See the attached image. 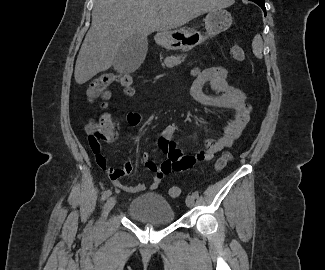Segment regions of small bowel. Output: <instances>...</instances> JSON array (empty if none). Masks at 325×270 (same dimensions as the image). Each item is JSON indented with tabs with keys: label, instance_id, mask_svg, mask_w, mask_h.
Returning <instances> with one entry per match:
<instances>
[{
	"label": "small bowel",
	"instance_id": "c3829d8e",
	"mask_svg": "<svg viewBox=\"0 0 325 270\" xmlns=\"http://www.w3.org/2000/svg\"><path fill=\"white\" fill-rule=\"evenodd\" d=\"M192 75L194 79L190 87V96L195 103L204 107L227 108L233 111L231 121L223 127V135L217 140L207 139L205 148L194 155H184L175 138L179 131L178 125L175 123L167 125L159 138V145L166 160L158 165L148 153L145 152L142 155L145 168L154 174L148 185L129 186L119 181L120 177L130 174L133 170V165L129 160H126L121 168H112L108 166L104 155H95L98 166L108 173L119 189L129 193L154 190L168 173L186 170L197 161L211 160L216 153L231 147L234 140L240 136L249 119L251 107L245 103L244 93L227 83L226 70L221 66L196 68ZM206 84L210 85L213 94L204 92ZM126 119L130 125H138L141 115L137 112H128Z\"/></svg>",
	"mask_w": 325,
	"mask_h": 270
}]
</instances>
